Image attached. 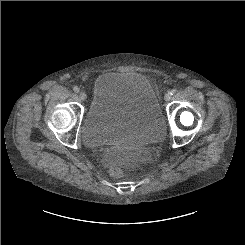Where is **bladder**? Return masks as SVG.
Wrapping results in <instances>:
<instances>
[{"label": "bladder", "instance_id": "1", "mask_svg": "<svg viewBox=\"0 0 245 245\" xmlns=\"http://www.w3.org/2000/svg\"><path fill=\"white\" fill-rule=\"evenodd\" d=\"M164 126L158 96L145 75L104 72L93 84L81 137L91 147L139 145L161 137Z\"/></svg>", "mask_w": 245, "mask_h": 245}]
</instances>
